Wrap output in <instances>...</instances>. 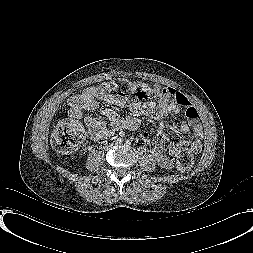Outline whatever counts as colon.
Listing matches in <instances>:
<instances>
[{
    "instance_id": "obj_1",
    "label": "colon",
    "mask_w": 253,
    "mask_h": 253,
    "mask_svg": "<svg viewBox=\"0 0 253 253\" xmlns=\"http://www.w3.org/2000/svg\"><path fill=\"white\" fill-rule=\"evenodd\" d=\"M100 99L118 105H129L139 109L148 108L166 99L162 89L150 87L142 83H131L115 80L102 83L97 88ZM85 133L82 126L74 120H66L57 125L52 137L53 148L61 154H72L84 142ZM193 165V155L187 149L177 154V166L181 170H189Z\"/></svg>"
}]
</instances>
